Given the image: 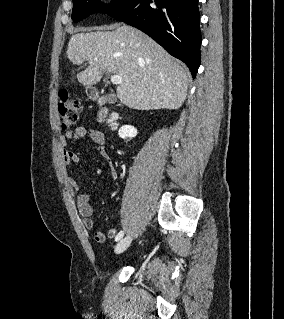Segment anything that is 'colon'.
Returning a JSON list of instances; mask_svg holds the SVG:
<instances>
[{
  "instance_id": "1",
  "label": "colon",
  "mask_w": 284,
  "mask_h": 319,
  "mask_svg": "<svg viewBox=\"0 0 284 319\" xmlns=\"http://www.w3.org/2000/svg\"><path fill=\"white\" fill-rule=\"evenodd\" d=\"M58 113L61 120L62 129L68 130L78 121V101L72 99L67 93H63L58 104Z\"/></svg>"
}]
</instances>
